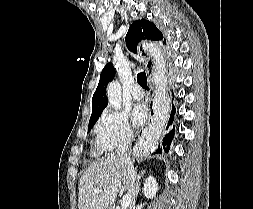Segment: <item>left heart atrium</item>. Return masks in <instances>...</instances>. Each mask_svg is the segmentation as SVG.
Masks as SVG:
<instances>
[{
	"label": "left heart atrium",
	"mask_w": 253,
	"mask_h": 209,
	"mask_svg": "<svg viewBox=\"0 0 253 209\" xmlns=\"http://www.w3.org/2000/svg\"><path fill=\"white\" fill-rule=\"evenodd\" d=\"M147 118V109L144 105H137L132 112V121L135 126L142 125Z\"/></svg>",
	"instance_id": "1"
}]
</instances>
